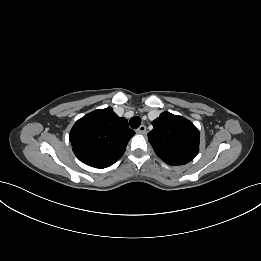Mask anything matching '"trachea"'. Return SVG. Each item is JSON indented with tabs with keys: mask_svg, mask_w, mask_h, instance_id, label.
I'll use <instances>...</instances> for the list:
<instances>
[{
	"mask_svg": "<svg viewBox=\"0 0 261 261\" xmlns=\"http://www.w3.org/2000/svg\"><path fill=\"white\" fill-rule=\"evenodd\" d=\"M141 124V118L138 116H134L130 119V127L133 129H136L140 126Z\"/></svg>",
	"mask_w": 261,
	"mask_h": 261,
	"instance_id": "1",
	"label": "trachea"
}]
</instances>
